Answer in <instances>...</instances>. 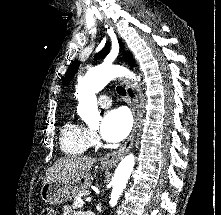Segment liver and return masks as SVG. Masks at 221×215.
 Segmentation results:
<instances>
[{
    "instance_id": "1",
    "label": "liver",
    "mask_w": 221,
    "mask_h": 215,
    "mask_svg": "<svg viewBox=\"0 0 221 215\" xmlns=\"http://www.w3.org/2000/svg\"><path fill=\"white\" fill-rule=\"evenodd\" d=\"M95 162L94 158L85 156H65L58 159L45 175L43 183L50 181L68 182L87 173Z\"/></svg>"
}]
</instances>
